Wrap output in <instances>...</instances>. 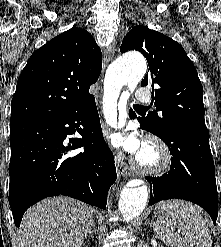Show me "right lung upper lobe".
<instances>
[{
  "instance_id": "cb5924a9",
  "label": "right lung upper lobe",
  "mask_w": 221,
  "mask_h": 247,
  "mask_svg": "<svg viewBox=\"0 0 221 247\" xmlns=\"http://www.w3.org/2000/svg\"><path fill=\"white\" fill-rule=\"evenodd\" d=\"M102 55L92 35L78 27L51 39L27 61L11 102L10 124L69 114L94 96Z\"/></svg>"
}]
</instances>
